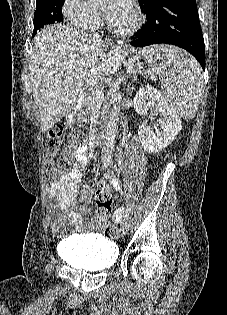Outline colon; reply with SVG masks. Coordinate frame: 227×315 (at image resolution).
<instances>
[{
	"mask_svg": "<svg viewBox=\"0 0 227 315\" xmlns=\"http://www.w3.org/2000/svg\"><path fill=\"white\" fill-rule=\"evenodd\" d=\"M70 141L75 147L83 142V136L79 132H72ZM63 142V131L60 127L50 130L45 138L44 145L46 149V158L42 169V179L45 183H52L56 181L60 175L71 166L72 154L71 152H61ZM95 202L97 206L96 214L98 222L102 226H107L105 229V236L114 238L119 236L120 230L118 227L111 225L112 221L108 217L112 211V197L109 191L105 188H100L95 194Z\"/></svg>",
	"mask_w": 227,
	"mask_h": 315,
	"instance_id": "1",
	"label": "colon"
}]
</instances>
